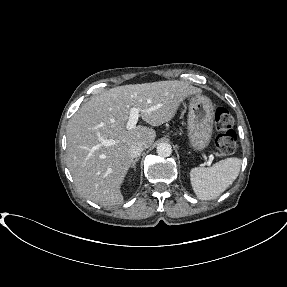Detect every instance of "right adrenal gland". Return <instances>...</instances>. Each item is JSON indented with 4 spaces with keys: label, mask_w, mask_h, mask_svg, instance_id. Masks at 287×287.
I'll return each instance as SVG.
<instances>
[{
    "label": "right adrenal gland",
    "mask_w": 287,
    "mask_h": 287,
    "mask_svg": "<svg viewBox=\"0 0 287 287\" xmlns=\"http://www.w3.org/2000/svg\"><path fill=\"white\" fill-rule=\"evenodd\" d=\"M139 161V158H136L135 160L132 161L130 168H133L134 170H136V163Z\"/></svg>",
    "instance_id": "2a0ac1e0"
}]
</instances>
